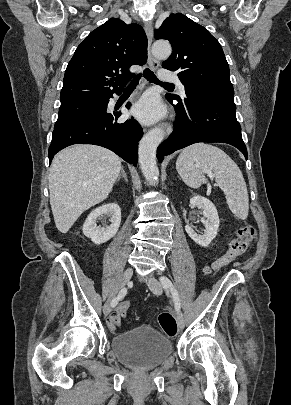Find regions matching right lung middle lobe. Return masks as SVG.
I'll list each match as a JSON object with an SVG mask.
<instances>
[{"instance_id":"obj_1","label":"right lung middle lobe","mask_w":291,"mask_h":405,"mask_svg":"<svg viewBox=\"0 0 291 405\" xmlns=\"http://www.w3.org/2000/svg\"><path fill=\"white\" fill-rule=\"evenodd\" d=\"M106 106V99H84L62 102L54 128L101 112Z\"/></svg>"}]
</instances>
